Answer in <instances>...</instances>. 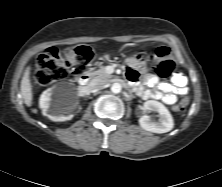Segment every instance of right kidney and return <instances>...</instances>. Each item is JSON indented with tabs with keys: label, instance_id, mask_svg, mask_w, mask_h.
<instances>
[{
	"label": "right kidney",
	"instance_id": "ca27d5eb",
	"mask_svg": "<svg viewBox=\"0 0 222 187\" xmlns=\"http://www.w3.org/2000/svg\"><path fill=\"white\" fill-rule=\"evenodd\" d=\"M55 87L45 90L40 96L39 105L50 120L61 122L73 118L72 114L65 115V103L62 99H57L53 102V97L56 95Z\"/></svg>",
	"mask_w": 222,
	"mask_h": 187
}]
</instances>
